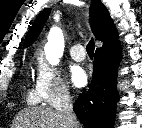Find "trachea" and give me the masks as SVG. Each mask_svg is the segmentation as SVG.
<instances>
[{
  "label": "trachea",
  "mask_w": 142,
  "mask_h": 128,
  "mask_svg": "<svg viewBox=\"0 0 142 128\" xmlns=\"http://www.w3.org/2000/svg\"><path fill=\"white\" fill-rule=\"evenodd\" d=\"M94 48H95V44H94V40L92 38L86 46V50H87V53L90 58H93Z\"/></svg>",
  "instance_id": "3493384b"
}]
</instances>
